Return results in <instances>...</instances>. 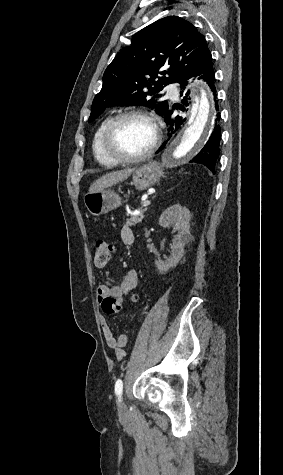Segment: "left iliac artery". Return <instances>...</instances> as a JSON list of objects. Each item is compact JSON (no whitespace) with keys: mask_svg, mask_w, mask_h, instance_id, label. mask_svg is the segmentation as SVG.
<instances>
[{"mask_svg":"<svg viewBox=\"0 0 283 475\" xmlns=\"http://www.w3.org/2000/svg\"><path fill=\"white\" fill-rule=\"evenodd\" d=\"M122 390H123L122 380L118 379L115 384V393L119 396V398L121 397Z\"/></svg>","mask_w":283,"mask_h":475,"instance_id":"1","label":"left iliac artery"}]
</instances>
